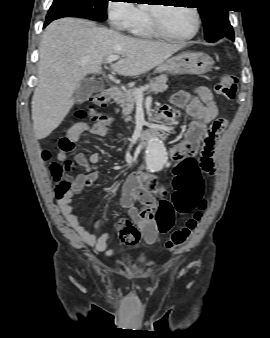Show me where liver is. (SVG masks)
<instances>
[{
    "instance_id": "liver-1",
    "label": "liver",
    "mask_w": 270,
    "mask_h": 338,
    "mask_svg": "<svg viewBox=\"0 0 270 338\" xmlns=\"http://www.w3.org/2000/svg\"><path fill=\"white\" fill-rule=\"evenodd\" d=\"M183 45L127 37L83 19L53 21L39 47L38 85L32 97L36 139H44L66 117L73 94L88 74L101 72L111 55L123 58L111 66L122 76H137L161 65Z\"/></svg>"
}]
</instances>
